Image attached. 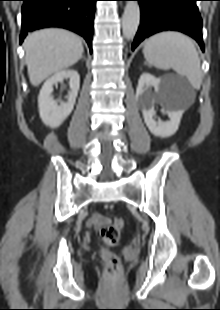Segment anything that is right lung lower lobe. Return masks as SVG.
Returning a JSON list of instances; mask_svg holds the SVG:
<instances>
[{"instance_id":"right-lung-lower-lobe-1","label":"right lung lower lobe","mask_w":220,"mask_h":310,"mask_svg":"<svg viewBox=\"0 0 220 310\" xmlns=\"http://www.w3.org/2000/svg\"><path fill=\"white\" fill-rule=\"evenodd\" d=\"M22 1L21 43L30 31L62 27L84 37L92 52L93 19L97 0Z\"/></svg>"}]
</instances>
